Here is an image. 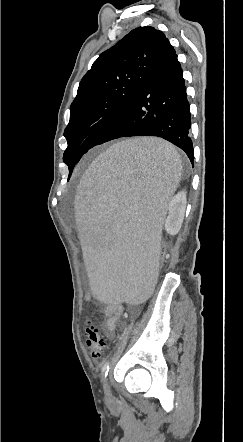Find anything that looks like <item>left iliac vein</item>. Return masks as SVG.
<instances>
[{
  "instance_id": "1",
  "label": "left iliac vein",
  "mask_w": 243,
  "mask_h": 442,
  "mask_svg": "<svg viewBox=\"0 0 243 442\" xmlns=\"http://www.w3.org/2000/svg\"><path fill=\"white\" fill-rule=\"evenodd\" d=\"M104 386H105L106 399H107V401H110L111 398H112V395H111V390H110V386H109V379H108V377H106L104 379Z\"/></svg>"
}]
</instances>
